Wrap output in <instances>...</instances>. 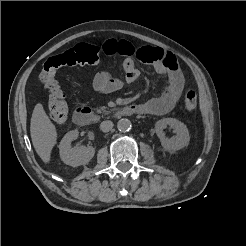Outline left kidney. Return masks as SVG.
I'll use <instances>...</instances> for the list:
<instances>
[{"label":"left kidney","mask_w":246,"mask_h":246,"mask_svg":"<svg viewBox=\"0 0 246 246\" xmlns=\"http://www.w3.org/2000/svg\"><path fill=\"white\" fill-rule=\"evenodd\" d=\"M169 125L174 129L176 136L168 139L165 137L164 129ZM155 132L161 141L162 147L166 151H176L186 147L190 141L189 130L187 126L175 118H163L155 124Z\"/></svg>","instance_id":"5707ae66"}]
</instances>
